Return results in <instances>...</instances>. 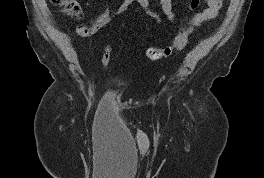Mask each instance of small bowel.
Listing matches in <instances>:
<instances>
[{
	"mask_svg": "<svg viewBox=\"0 0 264 178\" xmlns=\"http://www.w3.org/2000/svg\"><path fill=\"white\" fill-rule=\"evenodd\" d=\"M204 1L206 8L195 14L189 23L188 28L191 32L198 29L203 23L213 20L222 7V0ZM160 4L165 18L169 22L173 23L175 21V14L172 7V0H160ZM133 5H138L145 12V14L155 22H162V16L151 8L149 0H120L114 9H110L106 6L91 25H78L76 27V32L82 37L94 35L103 28L107 27L115 17L121 15Z\"/></svg>",
	"mask_w": 264,
	"mask_h": 178,
	"instance_id": "small-bowel-1",
	"label": "small bowel"
}]
</instances>
